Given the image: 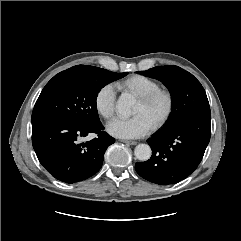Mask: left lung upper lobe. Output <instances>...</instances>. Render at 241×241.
<instances>
[{
  "instance_id": "1",
  "label": "left lung upper lobe",
  "mask_w": 241,
  "mask_h": 241,
  "mask_svg": "<svg viewBox=\"0 0 241 241\" xmlns=\"http://www.w3.org/2000/svg\"><path fill=\"white\" fill-rule=\"evenodd\" d=\"M141 75L163 82L172 96V114L164 130L176 128L196 117L211 115L209 102L200 82L189 72L178 66H158Z\"/></svg>"
}]
</instances>
